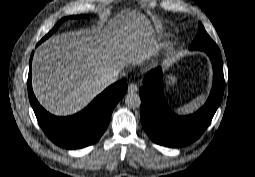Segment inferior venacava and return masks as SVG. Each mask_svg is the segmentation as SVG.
<instances>
[{
	"label": "inferior vena cava",
	"instance_id": "obj_1",
	"mask_svg": "<svg viewBox=\"0 0 255 177\" xmlns=\"http://www.w3.org/2000/svg\"><path fill=\"white\" fill-rule=\"evenodd\" d=\"M119 76V71L116 68H108L107 70H105L101 76H100V82L103 85H109L114 83L115 81H117Z\"/></svg>",
	"mask_w": 255,
	"mask_h": 177
}]
</instances>
